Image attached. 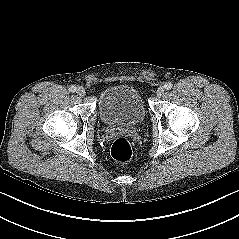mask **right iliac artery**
Listing matches in <instances>:
<instances>
[{"label": "right iliac artery", "mask_w": 239, "mask_h": 239, "mask_svg": "<svg viewBox=\"0 0 239 239\" xmlns=\"http://www.w3.org/2000/svg\"><path fill=\"white\" fill-rule=\"evenodd\" d=\"M69 91L70 92H75L76 91V87L74 85L69 87Z\"/></svg>", "instance_id": "82829eb1"}]
</instances>
